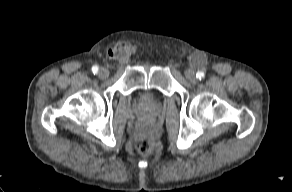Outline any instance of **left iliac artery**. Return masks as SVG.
Wrapping results in <instances>:
<instances>
[{
	"label": "left iliac artery",
	"instance_id": "left-iliac-artery-1",
	"mask_svg": "<svg viewBox=\"0 0 292 192\" xmlns=\"http://www.w3.org/2000/svg\"><path fill=\"white\" fill-rule=\"evenodd\" d=\"M204 76H205V74H204V72H202V71H199V72L196 73V77H197L198 79H200V80L203 79Z\"/></svg>",
	"mask_w": 292,
	"mask_h": 192
}]
</instances>
